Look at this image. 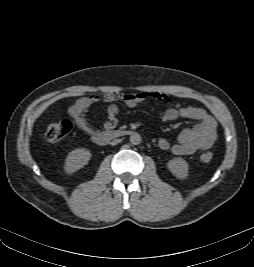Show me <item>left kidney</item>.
<instances>
[{"mask_svg": "<svg viewBox=\"0 0 254 267\" xmlns=\"http://www.w3.org/2000/svg\"><path fill=\"white\" fill-rule=\"evenodd\" d=\"M167 167L177 178L185 179L188 176V163L180 157L171 159L167 163Z\"/></svg>", "mask_w": 254, "mask_h": 267, "instance_id": "1", "label": "left kidney"}]
</instances>
